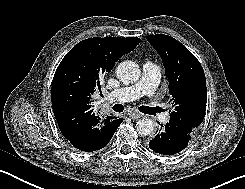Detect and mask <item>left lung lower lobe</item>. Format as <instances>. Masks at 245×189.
I'll return each mask as SVG.
<instances>
[{"label": "left lung lower lobe", "instance_id": "1", "mask_svg": "<svg viewBox=\"0 0 245 189\" xmlns=\"http://www.w3.org/2000/svg\"><path fill=\"white\" fill-rule=\"evenodd\" d=\"M191 139L189 135H181L167 124L161 125L160 130L149 142V148L163 155H174L185 149Z\"/></svg>", "mask_w": 245, "mask_h": 189}]
</instances>
